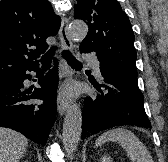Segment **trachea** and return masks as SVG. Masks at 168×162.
I'll return each instance as SVG.
<instances>
[{
	"label": "trachea",
	"instance_id": "1",
	"mask_svg": "<svg viewBox=\"0 0 168 162\" xmlns=\"http://www.w3.org/2000/svg\"><path fill=\"white\" fill-rule=\"evenodd\" d=\"M56 49H57V47H53L49 52H47L41 58V62L43 64V67H50L51 59H52V56L54 55ZM62 56H63V58L66 59V61L68 62V64L71 67H73V68L82 67V64L78 60H76L69 51L64 50L62 52Z\"/></svg>",
	"mask_w": 168,
	"mask_h": 162
}]
</instances>
